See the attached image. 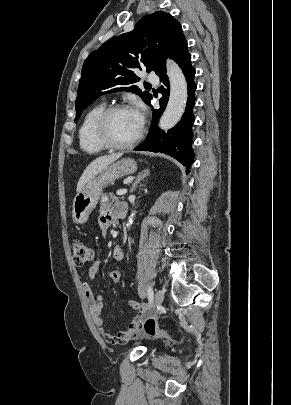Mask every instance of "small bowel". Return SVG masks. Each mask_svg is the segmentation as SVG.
Instances as JSON below:
<instances>
[{"mask_svg": "<svg viewBox=\"0 0 291 405\" xmlns=\"http://www.w3.org/2000/svg\"><path fill=\"white\" fill-rule=\"evenodd\" d=\"M117 217V208L113 210L105 211L101 214L99 218V225L100 228L105 231L107 228L113 223V221ZM123 257V251L120 247H117L114 250V258L116 260H121ZM100 261L96 260L91 263L86 269L85 272L89 278L95 279L96 275L100 269ZM84 293L85 297L89 303L90 307V314L94 323L99 327L100 333L102 336L109 342L114 344L124 343L134 337L140 329L142 318L147 311V307L144 305H140L138 302L134 300L129 301V305L137 310V315L133 319V321L128 325V327L120 332L112 333L104 328L103 319L101 317L103 311V300L101 296H96L91 287L85 283L84 284Z\"/></svg>", "mask_w": 291, "mask_h": 405, "instance_id": "c3829d8e", "label": "small bowel"}]
</instances>
